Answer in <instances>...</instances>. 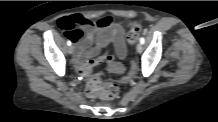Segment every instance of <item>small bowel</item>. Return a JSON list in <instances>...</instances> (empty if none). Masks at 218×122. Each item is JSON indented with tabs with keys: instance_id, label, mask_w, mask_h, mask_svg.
<instances>
[{
	"instance_id": "1",
	"label": "small bowel",
	"mask_w": 218,
	"mask_h": 122,
	"mask_svg": "<svg viewBox=\"0 0 218 122\" xmlns=\"http://www.w3.org/2000/svg\"><path fill=\"white\" fill-rule=\"evenodd\" d=\"M68 20L74 30L80 32L77 38L70 37L76 43V62L74 72L97 53H101L109 44H113L116 55L124 59L127 55L125 30L122 24L116 23L114 17L98 18L92 22L82 15H73L61 20ZM60 20V21H61Z\"/></svg>"
}]
</instances>
